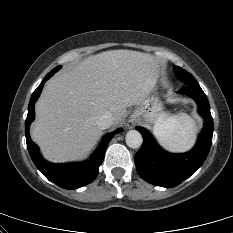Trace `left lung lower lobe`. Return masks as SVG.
<instances>
[{
  "label": "left lung lower lobe",
  "instance_id": "obj_1",
  "mask_svg": "<svg viewBox=\"0 0 233 233\" xmlns=\"http://www.w3.org/2000/svg\"><path fill=\"white\" fill-rule=\"evenodd\" d=\"M178 93L195 99L199 113L205 120L198 142L191 151L168 153L158 146L146 129L136 127L144 140L134 158L137 172L147 182L165 188L179 185L196 172L206 159L212 143L213 121L208 99L201 87L185 86Z\"/></svg>",
  "mask_w": 233,
  "mask_h": 233
}]
</instances>
